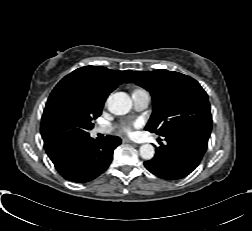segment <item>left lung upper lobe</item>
<instances>
[{
    "label": "left lung upper lobe",
    "mask_w": 252,
    "mask_h": 231,
    "mask_svg": "<svg viewBox=\"0 0 252 231\" xmlns=\"http://www.w3.org/2000/svg\"><path fill=\"white\" fill-rule=\"evenodd\" d=\"M127 82L148 90L153 98V113L146 130L165 136L186 126L212 127L208 96L200 84L184 74L165 69L138 71Z\"/></svg>",
    "instance_id": "1"
}]
</instances>
